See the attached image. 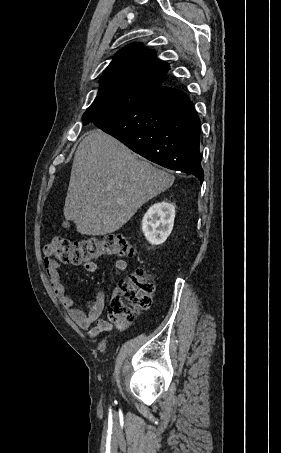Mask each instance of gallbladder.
Wrapping results in <instances>:
<instances>
[{"instance_id":"obj_1","label":"gallbladder","mask_w":281,"mask_h":453,"mask_svg":"<svg viewBox=\"0 0 281 453\" xmlns=\"http://www.w3.org/2000/svg\"><path fill=\"white\" fill-rule=\"evenodd\" d=\"M63 226H64V228L69 229V228H71L72 223H71V221L66 220V221H64Z\"/></svg>"}]
</instances>
